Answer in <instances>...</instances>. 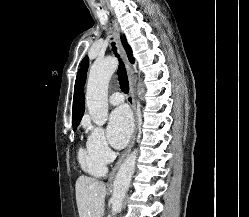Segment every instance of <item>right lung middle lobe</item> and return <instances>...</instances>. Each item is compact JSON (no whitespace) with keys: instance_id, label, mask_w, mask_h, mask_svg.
Returning <instances> with one entry per match:
<instances>
[{"instance_id":"right-lung-middle-lobe-1","label":"right lung middle lobe","mask_w":249,"mask_h":217,"mask_svg":"<svg viewBox=\"0 0 249 217\" xmlns=\"http://www.w3.org/2000/svg\"><path fill=\"white\" fill-rule=\"evenodd\" d=\"M76 128H77V126H73V130H74V131L76 130Z\"/></svg>"}]
</instances>
